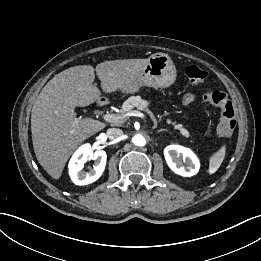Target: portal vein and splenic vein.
<instances>
[{
	"label": "portal vein and splenic vein",
	"instance_id": "18ae733b",
	"mask_svg": "<svg viewBox=\"0 0 261 261\" xmlns=\"http://www.w3.org/2000/svg\"><path fill=\"white\" fill-rule=\"evenodd\" d=\"M129 116H137L145 118V114L140 111H130L125 115H116V114H104L103 119L110 123H123L127 120Z\"/></svg>",
	"mask_w": 261,
	"mask_h": 261
}]
</instances>
